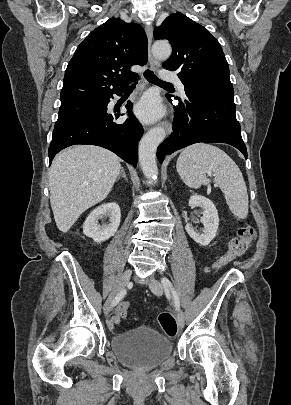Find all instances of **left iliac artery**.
I'll return each instance as SVG.
<instances>
[{
	"mask_svg": "<svg viewBox=\"0 0 291 405\" xmlns=\"http://www.w3.org/2000/svg\"><path fill=\"white\" fill-rule=\"evenodd\" d=\"M162 284L166 289L171 290L173 298H174L175 306H176L177 309H179V307H180L179 297H178L177 292L174 289L172 283L167 278H163L162 279Z\"/></svg>",
	"mask_w": 291,
	"mask_h": 405,
	"instance_id": "obj_1",
	"label": "left iliac artery"
}]
</instances>
